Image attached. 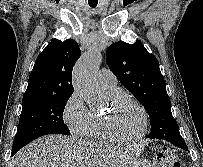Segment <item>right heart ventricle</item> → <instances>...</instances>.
<instances>
[{
  "mask_svg": "<svg viewBox=\"0 0 203 167\" xmlns=\"http://www.w3.org/2000/svg\"><path fill=\"white\" fill-rule=\"evenodd\" d=\"M104 90L106 91L107 94L118 91L115 88ZM85 136L106 140L101 129L100 116L98 114L91 112V120Z\"/></svg>",
  "mask_w": 203,
  "mask_h": 167,
  "instance_id": "obj_1",
  "label": "right heart ventricle"
}]
</instances>
